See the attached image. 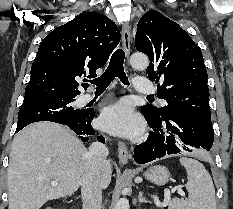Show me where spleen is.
Returning <instances> with one entry per match:
<instances>
[{
	"label": "spleen",
	"mask_w": 233,
	"mask_h": 209,
	"mask_svg": "<svg viewBox=\"0 0 233 209\" xmlns=\"http://www.w3.org/2000/svg\"><path fill=\"white\" fill-rule=\"evenodd\" d=\"M180 163L187 172L188 199L174 198L168 209H216L215 189L212 178L199 161L182 157Z\"/></svg>",
	"instance_id": "obj_1"
}]
</instances>
